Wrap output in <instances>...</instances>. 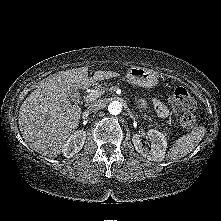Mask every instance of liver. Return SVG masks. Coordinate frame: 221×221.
Here are the masks:
<instances>
[{"label":"liver","mask_w":221,"mask_h":221,"mask_svg":"<svg viewBox=\"0 0 221 221\" xmlns=\"http://www.w3.org/2000/svg\"><path fill=\"white\" fill-rule=\"evenodd\" d=\"M118 75L98 70L89 77L88 68L80 67L61 71L42 82L19 110L18 124L24 141L39 154L57 157L81 117V107L68 99L71 89H87L97 81Z\"/></svg>","instance_id":"1"}]
</instances>
